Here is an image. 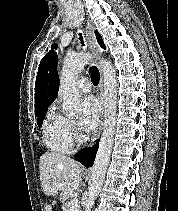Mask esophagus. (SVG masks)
I'll use <instances>...</instances> for the list:
<instances>
[{
    "label": "esophagus",
    "mask_w": 178,
    "mask_h": 211,
    "mask_svg": "<svg viewBox=\"0 0 178 211\" xmlns=\"http://www.w3.org/2000/svg\"><path fill=\"white\" fill-rule=\"evenodd\" d=\"M86 38H87V41H88L90 51L92 52V54L96 58V66H97V68L99 70V74H100L98 97H99V100H100V103H101V114H100V120H99L98 127L95 130L93 138H92V142L90 143V146H92L98 140V138L101 134L102 128H103V117H104V109H105V95H104V75H103L102 66L99 62V57H100L101 53H100L99 46H98V43H97L96 38H95L93 24L89 20L87 21V25H86Z\"/></svg>",
    "instance_id": "obj_1"
}]
</instances>
